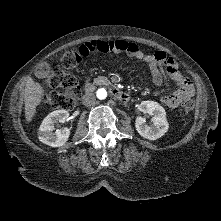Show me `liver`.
<instances>
[{"label":"liver","mask_w":221,"mask_h":221,"mask_svg":"<svg viewBox=\"0 0 221 221\" xmlns=\"http://www.w3.org/2000/svg\"><path fill=\"white\" fill-rule=\"evenodd\" d=\"M43 96L44 88L29 77L24 88L25 118L27 122H31L36 113V107L41 103Z\"/></svg>","instance_id":"obj_1"}]
</instances>
